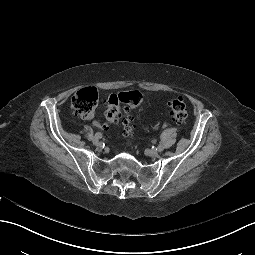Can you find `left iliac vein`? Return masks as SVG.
Segmentation results:
<instances>
[{
    "mask_svg": "<svg viewBox=\"0 0 255 255\" xmlns=\"http://www.w3.org/2000/svg\"><path fill=\"white\" fill-rule=\"evenodd\" d=\"M147 154L150 156V157H156L158 156V150L157 149H150L147 151Z\"/></svg>",
    "mask_w": 255,
    "mask_h": 255,
    "instance_id": "4c4485c4",
    "label": "left iliac vein"
}]
</instances>
